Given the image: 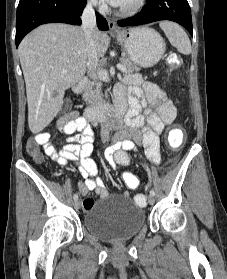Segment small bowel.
<instances>
[{
    "label": "small bowel",
    "mask_w": 227,
    "mask_h": 279,
    "mask_svg": "<svg viewBox=\"0 0 227 279\" xmlns=\"http://www.w3.org/2000/svg\"><path fill=\"white\" fill-rule=\"evenodd\" d=\"M115 92L117 100L128 102V112L120 124V132L110 139L112 145L104 152L106 161L112 166H126L130 162L127 151L135 150L136 145L142 143L147 158L154 164H159V135L176 118L173 101L159 86L143 81L138 75L127 76L124 85L117 86ZM54 124L59 133L67 135L61 150L49 142L50 132L40 133L32 141L42 145L46 156L60 165L79 163L80 173L84 178L79 183L81 194L86 195L95 190L100 199H106L108 193L102 179L96 175V163L91 158L94 132L87 120L74 111L57 118ZM110 130V127H105L104 134L107 135ZM95 204V199L85 198L82 207L85 211H90Z\"/></svg>",
    "instance_id": "small-bowel-1"
}]
</instances>
